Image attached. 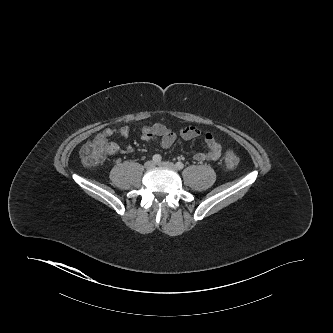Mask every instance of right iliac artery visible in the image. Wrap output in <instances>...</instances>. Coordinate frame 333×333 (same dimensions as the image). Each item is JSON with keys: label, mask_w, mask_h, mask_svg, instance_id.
Masks as SVG:
<instances>
[{"label": "right iliac artery", "mask_w": 333, "mask_h": 333, "mask_svg": "<svg viewBox=\"0 0 333 333\" xmlns=\"http://www.w3.org/2000/svg\"><path fill=\"white\" fill-rule=\"evenodd\" d=\"M152 160H153L154 163H159V162H161L162 157H161L159 154H155V155L152 157Z\"/></svg>", "instance_id": "right-iliac-artery-1"}]
</instances>
